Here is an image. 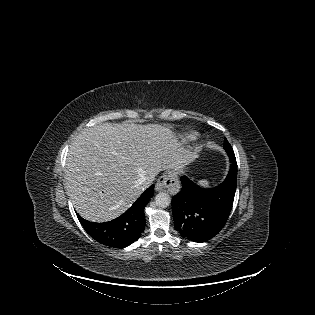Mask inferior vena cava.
Here are the masks:
<instances>
[{"label":"inferior vena cava","mask_w":315,"mask_h":315,"mask_svg":"<svg viewBox=\"0 0 315 315\" xmlns=\"http://www.w3.org/2000/svg\"><path fill=\"white\" fill-rule=\"evenodd\" d=\"M153 180L154 178H151V177L144 179L142 183L143 188L145 189L148 188L152 184Z\"/></svg>","instance_id":"inferior-vena-cava-1"}]
</instances>
